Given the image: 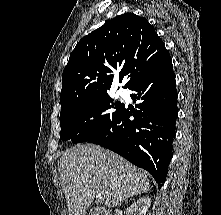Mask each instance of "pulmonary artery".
Instances as JSON below:
<instances>
[{
  "mask_svg": "<svg viewBox=\"0 0 221 215\" xmlns=\"http://www.w3.org/2000/svg\"><path fill=\"white\" fill-rule=\"evenodd\" d=\"M118 94H119L120 96H125V91H124L123 89H119V90H118Z\"/></svg>",
  "mask_w": 221,
  "mask_h": 215,
  "instance_id": "1",
  "label": "pulmonary artery"
}]
</instances>
